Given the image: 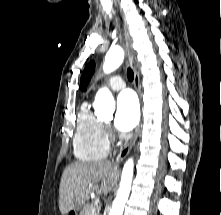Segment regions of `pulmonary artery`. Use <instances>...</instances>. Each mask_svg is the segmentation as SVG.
I'll list each match as a JSON object with an SVG mask.
<instances>
[{
    "label": "pulmonary artery",
    "instance_id": "e3ab8cb5",
    "mask_svg": "<svg viewBox=\"0 0 221 215\" xmlns=\"http://www.w3.org/2000/svg\"><path fill=\"white\" fill-rule=\"evenodd\" d=\"M109 88L113 91H119L125 88V82L120 76H113L108 81Z\"/></svg>",
    "mask_w": 221,
    "mask_h": 215
}]
</instances>
